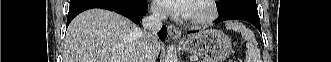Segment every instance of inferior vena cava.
Here are the masks:
<instances>
[{"mask_svg": "<svg viewBox=\"0 0 331 62\" xmlns=\"http://www.w3.org/2000/svg\"><path fill=\"white\" fill-rule=\"evenodd\" d=\"M166 15L156 8H151V14L142 19L146 29L137 43L136 62H155L153 44L157 41L156 33L161 29Z\"/></svg>", "mask_w": 331, "mask_h": 62, "instance_id": "inferior-vena-cava-1", "label": "inferior vena cava"}]
</instances>
